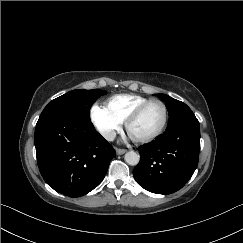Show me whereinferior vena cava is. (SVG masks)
<instances>
[{
	"label": "inferior vena cava",
	"instance_id": "obj_1",
	"mask_svg": "<svg viewBox=\"0 0 243 243\" xmlns=\"http://www.w3.org/2000/svg\"><path fill=\"white\" fill-rule=\"evenodd\" d=\"M101 134L108 141H113L116 137V133L113 130H103Z\"/></svg>",
	"mask_w": 243,
	"mask_h": 243
}]
</instances>
